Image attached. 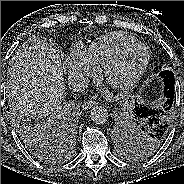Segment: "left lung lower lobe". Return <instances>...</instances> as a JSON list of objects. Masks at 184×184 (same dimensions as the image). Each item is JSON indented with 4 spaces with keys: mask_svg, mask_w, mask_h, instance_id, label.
<instances>
[{
    "mask_svg": "<svg viewBox=\"0 0 184 184\" xmlns=\"http://www.w3.org/2000/svg\"><path fill=\"white\" fill-rule=\"evenodd\" d=\"M159 76L163 79L164 82V103L157 106H150L138 104L135 102V107L133 109L132 115L134 117L145 120L151 130L161 137L168 134L170 129L171 123L168 117L174 99L175 79L173 72L169 70L161 72ZM124 133L126 132H122V135H124Z\"/></svg>",
    "mask_w": 184,
    "mask_h": 184,
    "instance_id": "obj_1",
    "label": "left lung lower lobe"
}]
</instances>
